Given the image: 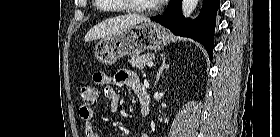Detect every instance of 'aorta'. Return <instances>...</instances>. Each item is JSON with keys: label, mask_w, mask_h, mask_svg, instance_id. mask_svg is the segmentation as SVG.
I'll return each mask as SVG.
<instances>
[{"label": "aorta", "mask_w": 280, "mask_h": 137, "mask_svg": "<svg viewBox=\"0 0 280 137\" xmlns=\"http://www.w3.org/2000/svg\"><path fill=\"white\" fill-rule=\"evenodd\" d=\"M198 5V0H183L182 1V14L185 17L190 16Z\"/></svg>", "instance_id": "1"}]
</instances>
